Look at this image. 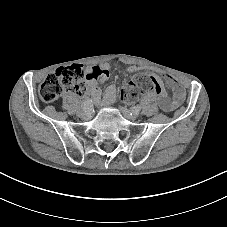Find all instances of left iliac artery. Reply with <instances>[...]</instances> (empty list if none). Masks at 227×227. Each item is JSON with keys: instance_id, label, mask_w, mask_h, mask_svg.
Returning a JSON list of instances; mask_svg holds the SVG:
<instances>
[{"instance_id": "left-iliac-artery-1", "label": "left iliac artery", "mask_w": 227, "mask_h": 227, "mask_svg": "<svg viewBox=\"0 0 227 227\" xmlns=\"http://www.w3.org/2000/svg\"><path fill=\"white\" fill-rule=\"evenodd\" d=\"M136 114L141 111V106H136L133 110Z\"/></svg>"}]
</instances>
